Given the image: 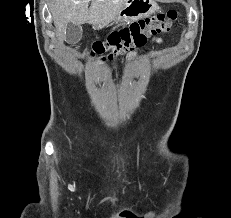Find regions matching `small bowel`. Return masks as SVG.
I'll return each mask as SVG.
<instances>
[{
	"label": "small bowel",
	"instance_id": "obj_1",
	"mask_svg": "<svg viewBox=\"0 0 231 218\" xmlns=\"http://www.w3.org/2000/svg\"><path fill=\"white\" fill-rule=\"evenodd\" d=\"M152 41H154L156 43H162V39L158 38V37L157 38H153ZM135 53H136V51L131 52L128 57H131V56L135 55Z\"/></svg>",
	"mask_w": 231,
	"mask_h": 218
}]
</instances>
